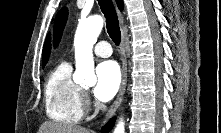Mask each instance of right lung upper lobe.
Listing matches in <instances>:
<instances>
[{"label": "right lung upper lobe", "instance_id": "obj_1", "mask_svg": "<svg viewBox=\"0 0 221 133\" xmlns=\"http://www.w3.org/2000/svg\"><path fill=\"white\" fill-rule=\"evenodd\" d=\"M116 2H117V5H118V8L120 10H122L123 9V0H116ZM49 54H50V42H49V36H48L47 40L44 44L43 54H42V61H43L44 65L48 61Z\"/></svg>", "mask_w": 221, "mask_h": 133}]
</instances>
